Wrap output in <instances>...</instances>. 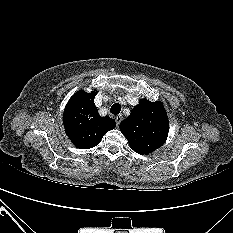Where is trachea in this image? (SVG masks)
<instances>
[{
    "label": "trachea",
    "mask_w": 233,
    "mask_h": 233,
    "mask_svg": "<svg viewBox=\"0 0 233 233\" xmlns=\"http://www.w3.org/2000/svg\"><path fill=\"white\" fill-rule=\"evenodd\" d=\"M121 111V106L118 103H115L111 106L110 112L114 115L119 114Z\"/></svg>",
    "instance_id": "1"
}]
</instances>
